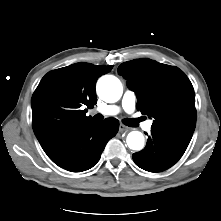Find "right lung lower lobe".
<instances>
[{"mask_svg": "<svg viewBox=\"0 0 221 221\" xmlns=\"http://www.w3.org/2000/svg\"><path fill=\"white\" fill-rule=\"evenodd\" d=\"M118 128L119 122L115 118L87 122L70 128L43 150L59 167L82 172L99 161L105 145L116 135Z\"/></svg>", "mask_w": 221, "mask_h": 221, "instance_id": "1", "label": "right lung lower lobe"}]
</instances>
